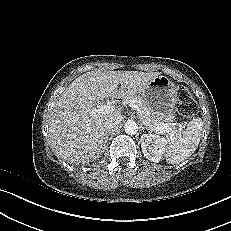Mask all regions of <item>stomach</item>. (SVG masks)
<instances>
[{
  "mask_svg": "<svg viewBox=\"0 0 231 231\" xmlns=\"http://www.w3.org/2000/svg\"><path fill=\"white\" fill-rule=\"evenodd\" d=\"M142 102L154 114L171 122L177 104V88L167 76L159 75L151 80L140 94Z\"/></svg>",
  "mask_w": 231,
  "mask_h": 231,
  "instance_id": "1",
  "label": "stomach"
}]
</instances>
